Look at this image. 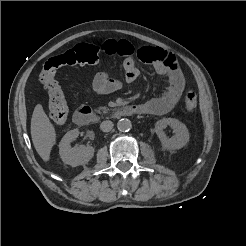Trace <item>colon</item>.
Masks as SVG:
<instances>
[{"instance_id":"colon-1","label":"colon","mask_w":246,"mask_h":246,"mask_svg":"<svg viewBox=\"0 0 246 246\" xmlns=\"http://www.w3.org/2000/svg\"><path fill=\"white\" fill-rule=\"evenodd\" d=\"M98 60V52L91 45L79 44L68 51L49 58L40 72V80L49 96L50 118L56 124L65 122L68 108L65 96L61 90L55 74L62 66H74L77 64H94ZM197 108V95L193 90L186 92L184 97V109L186 112H194Z\"/></svg>"}]
</instances>
